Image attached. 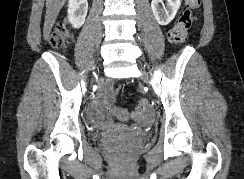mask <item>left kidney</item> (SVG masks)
<instances>
[{"mask_svg": "<svg viewBox=\"0 0 244 179\" xmlns=\"http://www.w3.org/2000/svg\"><path fill=\"white\" fill-rule=\"evenodd\" d=\"M166 2V6L162 0H152L151 2L152 12L160 26L170 24L181 6V0H166Z\"/></svg>", "mask_w": 244, "mask_h": 179, "instance_id": "left-kidney-1", "label": "left kidney"}]
</instances>
